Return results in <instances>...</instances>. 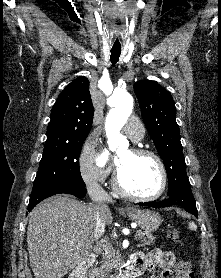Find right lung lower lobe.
<instances>
[{"instance_id":"1","label":"right lung lower lobe","mask_w":221,"mask_h":278,"mask_svg":"<svg viewBox=\"0 0 221 278\" xmlns=\"http://www.w3.org/2000/svg\"><path fill=\"white\" fill-rule=\"evenodd\" d=\"M60 193L72 194L78 198H82L86 195L85 183L80 184L68 180L55 182L40 191L31 194L28 211H31V209H33L43 199Z\"/></svg>"}]
</instances>
